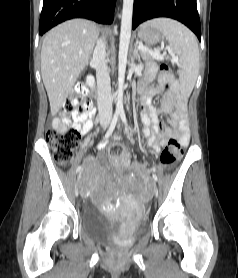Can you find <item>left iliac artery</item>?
<instances>
[{
  "instance_id": "obj_1",
  "label": "left iliac artery",
  "mask_w": 238,
  "mask_h": 278,
  "mask_svg": "<svg viewBox=\"0 0 238 278\" xmlns=\"http://www.w3.org/2000/svg\"><path fill=\"white\" fill-rule=\"evenodd\" d=\"M120 117H121L122 121L124 122L125 126H127V120H126L125 114H124V113H121V114H120ZM152 176H153V179H154L155 181H158V177H157L156 174H153Z\"/></svg>"
}]
</instances>
